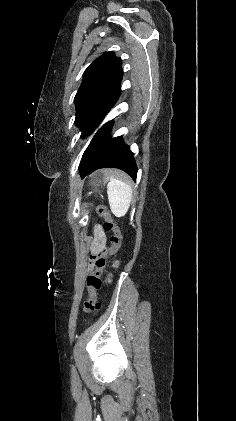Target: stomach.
Listing matches in <instances>:
<instances>
[{
    "mask_svg": "<svg viewBox=\"0 0 236 421\" xmlns=\"http://www.w3.org/2000/svg\"><path fill=\"white\" fill-rule=\"evenodd\" d=\"M103 180L104 178L103 176H101V174H99V172H97V174H94V178L92 180L94 192H101V190H99V186H102Z\"/></svg>",
    "mask_w": 236,
    "mask_h": 421,
    "instance_id": "1",
    "label": "stomach"
}]
</instances>
